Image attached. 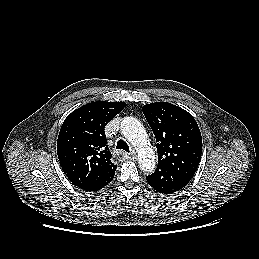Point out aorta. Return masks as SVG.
Instances as JSON below:
<instances>
[{"label": "aorta", "instance_id": "aorta-1", "mask_svg": "<svg viewBox=\"0 0 259 259\" xmlns=\"http://www.w3.org/2000/svg\"><path fill=\"white\" fill-rule=\"evenodd\" d=\"M121 133L137 149L138 163L142 171L151 173L156 168L155 154L149 146L148 136L141 122L131 116L121 122Z\"/></svg>", "mask_w": 259, "mask_h": 259}]
</instances>
